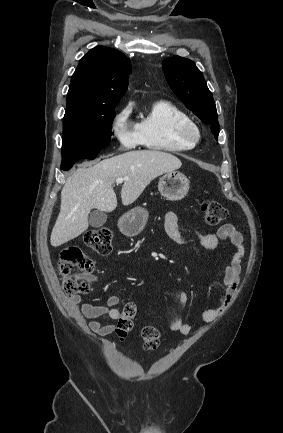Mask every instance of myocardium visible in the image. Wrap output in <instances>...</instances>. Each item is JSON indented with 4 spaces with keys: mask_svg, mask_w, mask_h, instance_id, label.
Wrapping results in <instances>:
<instances>
[{
    "mask_svg": "<svg viewBox=\"0 0 283 433\" xmlns=\"http://www.w3.org/2000/svg\"><path fill=\"white\" fill-rule=\"evenodd\" d=\"M202 137L201 127L191 119L180 121L176 126L175 138L184 149L195 147Z\"/></svg>",
    "mask_w": 283,
    "mask_h": 433,
    "instance_id": "1",
    "label": "myocardium"
}]
</instances>
